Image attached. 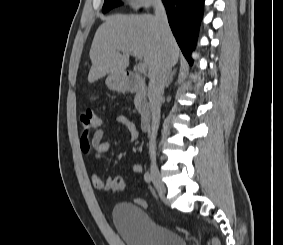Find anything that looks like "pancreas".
Listing matches in <instances>:
<instances>
[{
    "label": "pancreas",
    "mask_w": 283,
    "mask_h": 245,
    "mask_svg": "<svg viewBox=\"0 0 283 245\" xmlns=\"http://www.w3.org/2000/svg\"><path fill=\"white\" fill-rule=\"evenodd\" d=\"M135 107H136V109L138 110V111H140L141 110V104H140V101H139V97L137 96L136 98H135Z\"/></svg>",
    "instance_id": "obj_1"
}]
</instances>
